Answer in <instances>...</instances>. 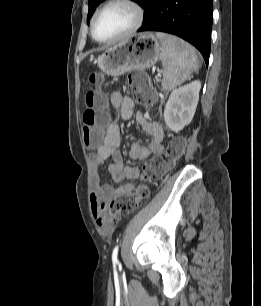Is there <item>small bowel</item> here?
Instances as JSON below:
<instances>
[{
	"mask_svg": "<svg viewBox=\"0 0 261 306\" xmlns=\"http://www.w3.org/2000/svg\"><path fill=\"white\" fill-rule=\"evenodd\" d=\"M110 104L114 108H119L122 118L133 119L142 129V131L151 137L148 145H142L134 142L130 149V158L136 161L147 159L152 153L159 152L163 148L164 134L160 125L156 122L147 120L143 114L135 112V103L119 91H113L110 94ZM121 133L117 124H111L106 130L103 144L96 152L89 154L88 161L90 165L91 192L89 196L91 212L97 226L101 231L110 235L113 231L108 218L109 202L122 193L130 192L135 185L128 182L117 187L101 180V166L108 159L112 162L108 165V171L115 183L124 180H135L139 171L136 167L127 166L124 163L120 152Z\"/></svg>",
	"mask_w": 261,
	"mask_h": 306,
	"instance_id": "c3829d8e",
	"label": "small bowel"
}]
</instances>
